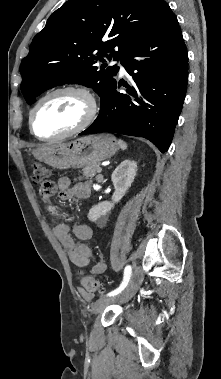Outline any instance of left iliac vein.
<instances>
[{
    "label": "left iliac vein",
    "instance_id": "4c4485c4",
    "mask_svg": "<svg viewBox=\"0 0 221 379\" xmlns=\"http://www.w3.org/2000/svg\"><path fill=\"white\" fill-rule=\"evenodd\" d=\"M143 271L140 266H137L135 268V271L131 277V280L128 284V286L120 292V294L116 296H111V297H102L98 299L93 307H92V313L93 314H98L102 312L108 305L112 303H125L129 301L137 292L139 289L142 281H143Z\"/></svg>",
    "mask_w": 221,
    "mask_h": 379
}]
</instances>
